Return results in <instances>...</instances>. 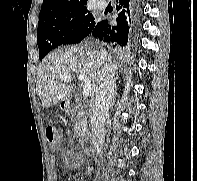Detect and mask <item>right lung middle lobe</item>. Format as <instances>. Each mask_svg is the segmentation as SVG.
<instances>
[{
    "label": "right lung middle lobe",
    "mask_w": 197,
    "mask_h": 181,
    "mask_svg": "<svg viewBox=\"0 0 197 181\" xmlns=\"http://www.w3.org/2000/svg\"><path fill=\"white\" fill-rule=\"evenodd\" d=\"M96 24V18L86 7L40 19L37 29L40 60L59 45L79 43Z\"/></svg>",
    "instance_id": "dd1d6c3e"
}]
</instances>
